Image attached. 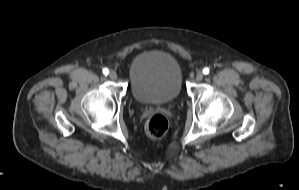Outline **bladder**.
I'll return each mask as SVG.
<instances>
[{"mask_svg":"<svg viewBox=\"0 0 299 190\" xmlns=\"http://www.w3.org/2000/svg\"><path fill=\"white\" fill-rule=\"evenodd\" d=\"M132 96L143 104H165L175 100L182 90L181 64L172 52L148 49L128 67Z\"/></svg>","mask_w":299,"mask_h":190,"instance_id":"31cf9c89","label":"bladder"}]
</instances>
